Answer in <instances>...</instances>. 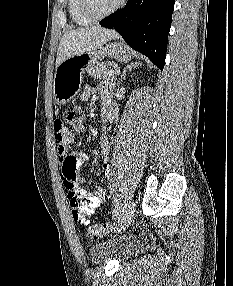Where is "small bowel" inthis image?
Here are the masks:
<instances>
[{
	"label": "small bowel",
	"instance_id": "obj_1",
	"mask_svg": "<svg viewBox=\"0 0 233 286\" xmlns=\"http://www.w3.org/2000/svg\"><path fill=\"white\" fill-rule=\"evenodd\" d=\"M96 93L102 97V117L111 120L113 118V106L110 84L103 83L96 87L86 86L80 95V99L87 101ZM54 132L64 187L68 193L74 191L82 200L81 207L76 210L71 207L72 217L76 222L85 223L99 208L105 192L99 187L83 188V180L78 176V168L87 161L88 155L83 151H69L68 147L75 142V137L60 121L54 123ZM100 149L103 159L102 175L107 177L110 173L108 164L110 147L107 139L101 142Z\"/></svg>",
	"mask_w": 233,
	"mask_h": 286
}]
</instances>
